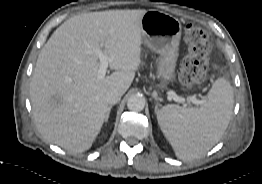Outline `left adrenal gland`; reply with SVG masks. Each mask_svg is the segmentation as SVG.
Returning a JSON list of instances; mask_svg holds the SVG:
<instances>
[{"mask_svg":"<svg viewBox=\"0 0 262 184\" xmlns=\"http://www.w3.org/2000/svg\"><path fill=\"white\" fill-rule=\"evenodd\" d=\"M157 109H158V104H156V106H155V110H156V112H157Z\"/></svg>","mask_w":262,"mask_h":184,"instance_id":"a2214340","label":"left adrenal gland"}]
</instances>
